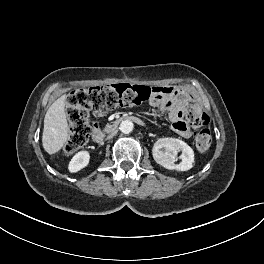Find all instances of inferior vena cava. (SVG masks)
<instances>
[{
  "instance_id": "inferior-vena-cava-1",
  "label": "inferior vena cava",
  "mask_w": 264,
  "mask_h": 264,
  "mask_svg": "<svg viewBox=\"0 0 264 264\" xmlns=\"http://www.w3.org/2000/svg\"><path fill=\"white\" fill-rule=\"evenodd\" d=\"M114 135H119V130H113L111 134L107 136L108 139L112 138Z\"/></svg>"
}]
</instances>
